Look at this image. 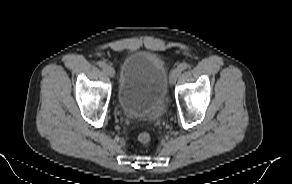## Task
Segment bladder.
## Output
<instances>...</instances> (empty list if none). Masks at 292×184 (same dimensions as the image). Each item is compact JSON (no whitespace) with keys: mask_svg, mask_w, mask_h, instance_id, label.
Returning a JSON list of instances; mask_svg holds the SVG:
<instances>
[{"mask_svg":"<svg viewBox=\"0 0 292 184\" xmlns=\"http://www.w3.org/2000/svg\"><path fill=\"white\" fill-rule=\"evenodd\" d=\"M168 81V71L160 57L151 52L132 53L120 72V109L132 118L157 120L165 108Z\"/></svg>","mask_w":292,"mask_h":184,"instance_id":"1","label":"bladder"}]
</instances>
